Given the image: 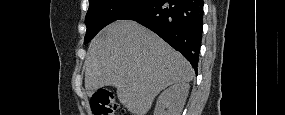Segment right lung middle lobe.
I'll return each instance as SVG.
<instances>
[{"label":"right lung middle lobe","mask_w":285,"mask_h":115,"mask_svg":"<svg viewBox=\"0 0 285 115\" xmlns=\"http://www.w3.org/2000/svg\"><path fill=\"white\" fill-rule=\"evenodd\" d=\"M152 0H89V10L86 14L87 27L84 44L109 23L147 5Z\"/></svg>","instance_id":"right-lung-middle-lobe-1"}]
</instances>
